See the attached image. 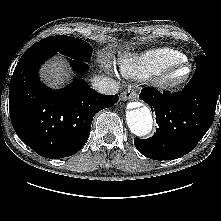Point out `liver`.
<instances>
[{"label": "liver", "instance_id": "1", "mask_svg": "<svg viewBox=\"0 0 221 221\" xmlns=\"http://www.w3.org/2000/svg\"><path fill=\"white\" fill-rule=\"evenodd\" d=\"M41 77L53 88H58L69 80V68L61 57H55L41 69Z\"/></svg>", "mask_w": 221, "mask_h": 221}]
</instances>
